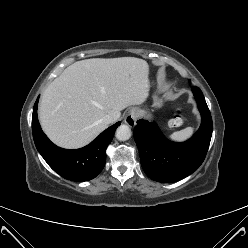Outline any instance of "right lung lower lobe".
<instances>
[{"label": "right lung lower lobe", "instance_id": "98d812e1", "mask_svg": "<svg viewBox=\"0 0 248 248\" xmlns=\"http://www.w3.org/2000/svg\"><path fill=\"white\" fill-rule=\"evenodd\" d=\"M38 99L33 108L32 131L36 148L44 160L65 179L83 182L95 178L105 165L106 148L121 123L109 127L83 148L63 149L53 144L41 130L37 117Z\"/></svg>", "mask_w": 248, "mask_h": 248}]
</instances>
